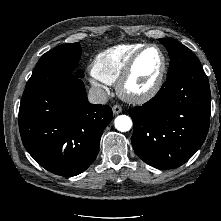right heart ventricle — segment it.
<instances>
[{
	"label": "right heart ventricle",
	"mask_w": 221,
	"mask_h": 221,
	"mask_svg": "<svg viewBox=\"0 0 221 221\" xmlns=\"http://www.w3.org/2000/svg\"><path fill=\"white\" fill-rule=\"evenodd\" d=\"M143 45L142 43L121 44L100 52L92 62V75L103 83H115L131 56Z\"/></svg>",
	"instance_id": "1"
}]
</instances>
